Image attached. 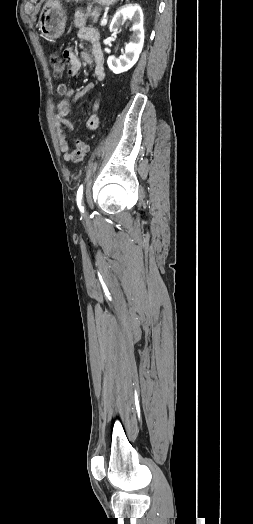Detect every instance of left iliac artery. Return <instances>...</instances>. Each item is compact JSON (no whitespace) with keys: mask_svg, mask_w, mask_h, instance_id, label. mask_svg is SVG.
I'll return each mask as SVG.
<instances>
[{"mask_svg":"<svg viewBox=\"0 0 253 524\" xmlns=\"http://www.w3.org/2000/svg\"><path fill=\"white\" fill-rule=\"evenodd\" d=\"M82 195H83V185H80V187L78 188V191H77L76 200H77V205H78L80 211L84 212V208L82 206Z\"/></svg>","mask_w":253,"mask_h":524,"instance_id":"left-iliac-artery-1","label":"left iliac artery"}]
</instances>
